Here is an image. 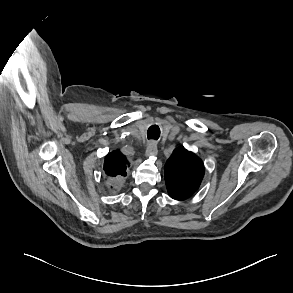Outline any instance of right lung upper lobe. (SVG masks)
Here are the masks:
<instances>
[{"label":"right lung upper lobe","instance_id":"cb5924a9","mask_svg":"<svg viewBox=\"0 0 293 293\" xmlns=\"http://www.w3.org/2000/svg\"><path fill=\"white\" fill-rule=\"evenodd\" d=\"M128 161L119 151H113L105 157L104 171L108 178L114 180L126 176Z\"/></svg>","mask_w":293,"mask_h":293}]
</instances>
